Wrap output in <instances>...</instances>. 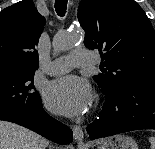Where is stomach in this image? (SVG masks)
Segmentation results:
<instances>
[{"mask_svg":"<svg viewBox=\"0 0 155 149\" xmlns=\"http://www.w3.org/2000/svg\"><path fill=\"white\" fill-rule=\"evenodd\" d=\"M98 149H138V146L133 138L118 134L103 140Z\"/></svg>","mask_w":155,"mask_h":149,"instance_id":"1","label":"stomach"}]
</instances>
